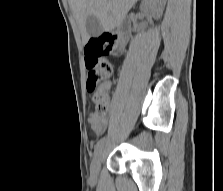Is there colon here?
<instances>
[{
  "label": "colon",
  "mask_w": 223,
  "mask_h": 191,
  "mask_svg": "<svg viewBox=\"0 0 223 191\" xmlns=\"http://www.w3.org/2000/svg\"><path fill=\"white\" fill-rule=\"evenodd\" d=\"M120 42L121 38L117 35H105L91 38L85 46V65L89 70L87 90L96 102L98 117H104L109 109V100L102 88L112 74L110 64L103 58L113 52Z\"/></svg>",
  "instance_id": "colon-1"
}]
</instances>
